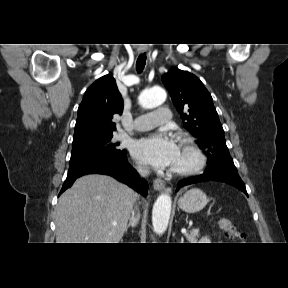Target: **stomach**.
<instances>
[{"instance_id":"stomach-1","label":"stomach","mask_w":288,"mask_h":288,"mask_svg":"<svg viewBox=\"0 0 288 288\" xmlns=\"http://www.w3.org/2000/svg\"><path fill=\"white\" fill-rule=\"evenodd\" d=\"M207 203L206 194L200 189L192 188L180 197L178 206L187 213H196L202 210Z\"/></svg>"}]
</instances>
